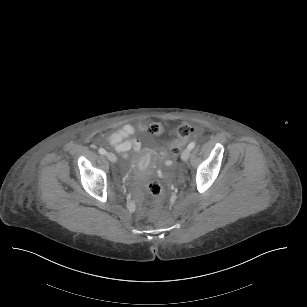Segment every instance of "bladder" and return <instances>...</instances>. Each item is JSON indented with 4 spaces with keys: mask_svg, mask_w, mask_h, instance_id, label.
Instances as JSON below:
<instances>
[{
    "mask_svg": "<svg viewBox=\"0 0 307 307\" xmlns=\"http://www.w3.org/2000/svg\"><path fill=\"white\" fill-rule=\"evenodd\" d=\"M133 161H134V157H132V156H128L126 159H125V164L126 165H131L132 163H133Z\"/></svg>",
    "mask_w": 307,
    "mask_h": 307,
    "instance_id": "obj_1",
    "label": "bladder"
}]
</instances>
